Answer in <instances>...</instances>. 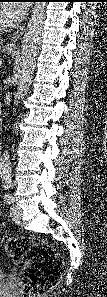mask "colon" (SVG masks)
<instances>
[{
	"instance_id": "obj_1",
	"label": "colon",
	"mask_w": 107,
	"mask_h": 297,
	"mask_svg": "<svg viewBox=\"0 0 107 297\" xmlns=\"http://www.w3.org/2000/svg\"><path fill=\"white\" fill-rule=\"evenodd\" d=\"M5 250L22 268L20 289L23 297H41L50 292L62 275V259L44 241L26 237L11 238Z\"/></svg>"
}]
</instances>
